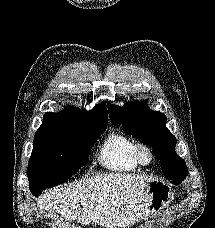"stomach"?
Wrapping results in <instances>:
<instances>
[{
	"label": "stomach",
	"mask_w": 215,
	"mask_h": 228,
	"mask_svg": "<svg viewBox=\"0 0 215 228\" xmlns=\"http://www.w3.org/2000/svg\"><path fill=\"white\" fill-rule=\"evenodd\" d=\"M148 196L150 218L156 220L162 210L167 208L173 196L172 188L168 184H165V182H161V180H154V182H150L149 184Z\"/></svg>",
	"instance_id": "stomach-1"
}]
</instances>
